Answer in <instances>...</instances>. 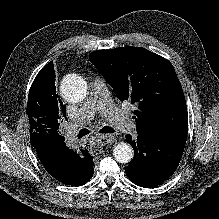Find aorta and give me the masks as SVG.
<instances>
[{"mask_svg": "<svg viewBox=\"0 0 219 219\" xmlns=\"http://www.w3.org/2000/svg\"><path fill=\"white\" fill-rule=\"evenodd\" d=\"M61 95L68 102H79L83 100L87 93L86 81L77 75H71L63 79L61 86ZM115 160L119 163H129L133 158V149L126 142H120L113 149Z\"/></svg>", "mask_w": 219, "mask_h": 219, "instance_id": "obj_1", "label": "aorta"}]
</instances>
